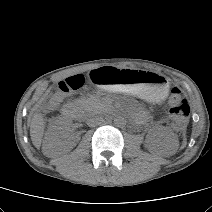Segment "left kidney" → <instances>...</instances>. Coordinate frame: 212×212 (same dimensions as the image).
<instances>
[{"mask_svg":"<svg viewBox=\"0 0 212 212\" xmlns=\"http://www.w3.org/2000/svg\"><path fill=\"white\" fill-rule=\"evenodd\" d=\"M156 138H148L146 146L148 150L163 156H171L178 148L177 135L169 129L162 128L156 131Z\"/></svg>","mask_w":212,"mask_h":212,"instance_id":"5707ae66","label":"left kidney"}]
</instances>
